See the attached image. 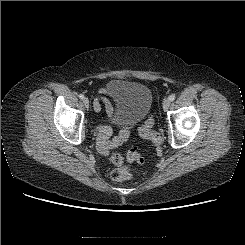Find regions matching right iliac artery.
<instances>
[{
  "label": "right iliac artery",
  "mask_w": 245,
  "mask_h": 245,
  "mask_svg": "<svg viewBox=\"0 0 245 245\" xmlns=\"http://www.w3.org/2000/svg\"><path fill=\"white\" fill-rule=\"evenodd\" d=\"M78 97H79L80 99H84V95H83V94H79Z\"/></svg>",
  "instance_id": "1"
}]
</instances>
